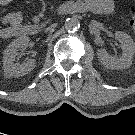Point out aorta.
<instances>
[{"label":"aorta","instance_id":"762f6f07","mask_svg":"<svg viewBox=\"0 0 135 135\" xmlns=\"http://www.w3.org/2000/svg\"><path fill=\"white\" fill-rule=\"evenodd\" d=\"M79 28H80V21L77 18L71 17L65 21V29L68 32H76Z\"/></svg>","mask_w":135,"mask_h":135}]
</instances>
